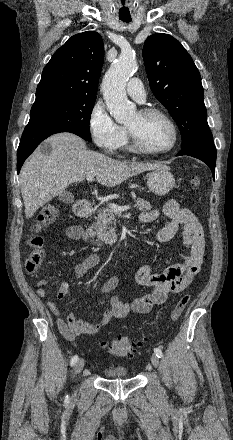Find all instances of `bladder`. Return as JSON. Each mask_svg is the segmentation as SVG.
<instances>
[{"label":"bladder","mask_w":233,"mask_h":440,"mask_svg":"<svg viewBox=\"0 0 233 440\" xmlns=\"http://www.w3.org/2000/svg\"><path fill=\"white\" fill-rule=\"evenodd\" d=\"M105 375L109 378L123 379L128 377V371L124 367H110L105 370Z\"/></svg>","instance_id":"1"}]
</instances>
